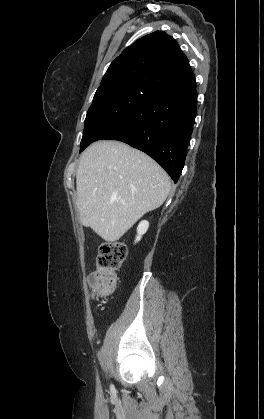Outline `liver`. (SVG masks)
<instances>
[{
	"mask_svg": "<svg viewBox=\"0 0 264 419\" xmlns=\"http://www.w3.org/2000/svg\"><path fill=\"white\" fill-rule=\"evenodd\" d=\"M81 222L107 242L119 240L166 200L171 182L148 155L112 140L91 144L76 173Z\"/></svg>",
	"mask_w": 264,
	"mask_h": 419,
	"instance_id": "1",
	"label": "liver"
}]
</instances>
